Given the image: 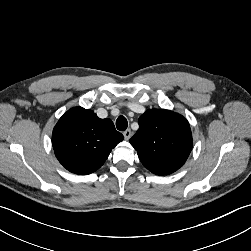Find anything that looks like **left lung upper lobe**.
I'll use <instances>...</instances> for the list:
<instances>
[{
    "instance_id": "5c2ea615",
    "label": "left lung upper lobe",
    "mask_w": 251,
    "mask_h": 251,
    "mask_svg": "<svg viewBox=\"0 0 251 251\" xmlns=\"http://www.w3.org/2000/svg\"><path fill=\"white\" fill-rule=\"evenodd\" d=\"M139 129L130 139L142 164L156 175L177 171L192 149L188 121L170 110L149 109L138 120Z\"/></svg>"
}]
</instances>
